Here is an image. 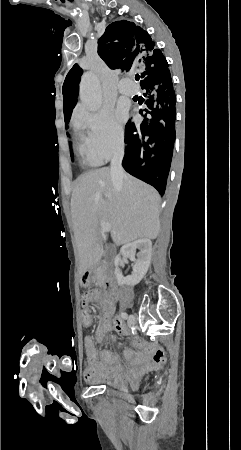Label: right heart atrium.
<instances>
[{"mask_svg": "<svg viewBox=\"0 0 241 450\" xmlns=\"http://www.w3.org/2000/svg\"><path fill=\"white\" fill-rule=\"evenodd\" d=\"M75 130H84V154L109 160L122 153L124 128L110 107H102L91 116H74Z\"/></svg>", "mask_w": 241, "mask_h": 450, "instance_id": "right-heart-atrium-1", "label": "right heart atrium"}]
</instances>
